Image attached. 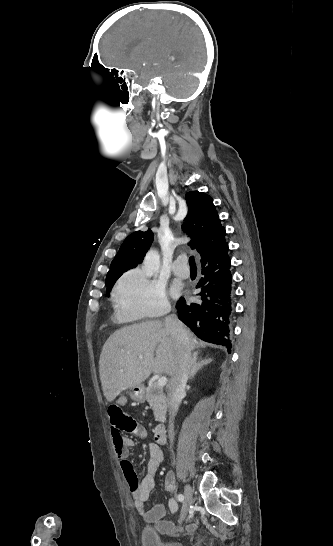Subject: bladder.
<instances>
[{"mask_svg":"<svg viewBox=\"0 0 333 546\" xmlns=\"http://www.w3.org/2000/svg\"><path fill=\"white\" fill-rule=\"evenodd\" d=\"M143 546H184L179 540H162L156 525H146L141 531Z\"/></svg>","mask_w":333,"mask_h":546,"instance_id":"31cf9c89","label":"bladder"}]
</instances>
